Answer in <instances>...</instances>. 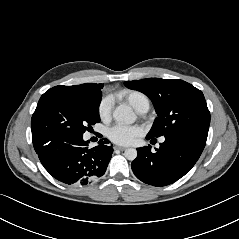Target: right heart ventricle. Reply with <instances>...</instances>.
Here are the masks:
<instances>
[{
	"label": "right heart ventricle",
	"instance_id": "1",
	"mask_svg": "<svg viewBox=\"0 0 239 239\" xmlns=\"http://www.w3.org/2000/svg\"><path fill=\"white\" fill-rule=\"evenodd\" d=\"M121 96L138 112L141 110L144 104L149 103L146 95L136 90L125 91L121 94Z\"/></svg>",
	"mask_w": 239,
	"mask_h": 239
}]
</instances>
